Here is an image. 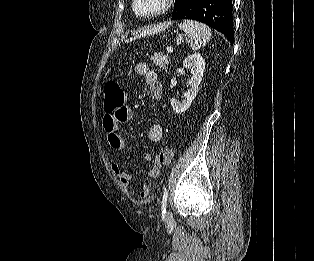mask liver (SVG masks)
I'll return each instance as SVG.
<instances>
[{
  "label": "liver",
  "mask_w": 314,
  "mask_h": 261,
  "mask_svg": "<svg viewBox=\"0 0 314 261\" xmlns=\"http://www.w3.org/2000/svg\"><path fill=\"white\" fill-rule=\"evenodd\" d=\"M144 34H145V33H142V34H140V36H143ZM138 37H139V36H138ZM135 38H136V37H135ZM135 38H134V39H135Z\"/></svg>",
  "instance_id": "liver-1"
}]
</instances>
